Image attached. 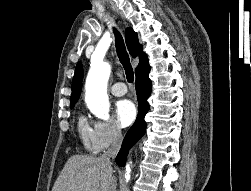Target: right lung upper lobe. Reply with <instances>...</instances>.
<instances>
[{
    "instance_id": "1",
    "label": "right lung upper lobe",
    "mask_w": 251,
    "mask_h": 191,
    "mask_svg": "<svg viewBox=\"0 0 251 191\" xmlns=\"http://www.w3.org/2000/svg\"><path fill=\"white\" fill-rule=\"evenodd\" d=\"M125 38L128 50L132 57H136L138 55L140 56L139 64L135 69L136 79L148 77L150 66L148 64L147 55L143 52L142 46L139 43L137 33L134 32L132 28H127ZM83 76V67L81 62H79L76 66L75 74L72 80L70 105L75 104L80 97Z\"/></svg>"
}]
</instances>
